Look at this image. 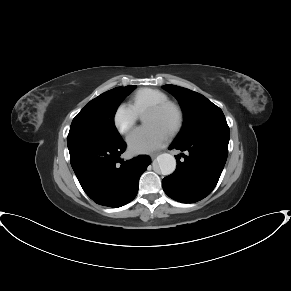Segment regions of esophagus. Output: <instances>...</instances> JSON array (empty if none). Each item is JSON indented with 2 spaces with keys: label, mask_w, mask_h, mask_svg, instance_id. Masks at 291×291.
<instances>
[{
  "label": "esophagus",
  "mask_w": 291,
  "mask_h": 291,
  "mask_svg": "<svg viewBox=\"0 0 291 291\" xmlns=\"http://www.w3.org/2000/svg\"><path fill=\"white\" fill-rule=\"evenodd\" d=\"M158 154H159V153H152V154L150 155V157H151L152 159H154V158L157 157Z\"/></svg>",
  "instance_id": "esophagus-1"
}]
</instances>
